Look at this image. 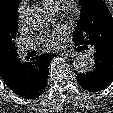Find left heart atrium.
Wrapping results in <instances>:
<instances>
[{
	"mask_svg": "<svg viewBox=\"0 0 113 113\" xmlns=\"http://www.w3.org/2000/svg\"><path fill=\"white\" fill-rule=\"evenodd\" d=\"M66 34L65 27H58L46 32L41 38L40 42L48 49L56 48L61 44V38Z\"/></svg>",
	"mask_w": 113,
	"mask_h": 113,
	"instance_id": "obj_1",
	"label": "left heart atrium"
}]
</instances>
